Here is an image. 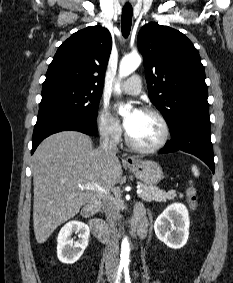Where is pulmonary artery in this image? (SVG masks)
<instances>
[{
	"mask_svg": "<svg viewBox=\"0 0 233 283\" xmlns=\"http://www.w3.org/2000/svg\"><path fill=\"white\" fill-rule=\"evenodd\" d=\"M121 89L123 92L136 95L141 91V79L138 75H133L126 81H124L121 85Z\"/></svg>",
	"mask_w": 233,
	"mask_h": 283,
	"instance_id": "obj_1",
	"label": "pulmonary artery"
}]
</instances>
